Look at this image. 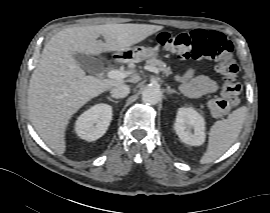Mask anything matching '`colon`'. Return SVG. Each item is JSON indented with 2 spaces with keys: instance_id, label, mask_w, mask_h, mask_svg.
<instances>
[{
  "instance_id": "1",
  "label": "colon",
  "mask_w": 270,
  "mask_h": 213,
  "mask_svg": "<svg viewBox=\"0 0 270 213\" xmlns=\"http://www.w3.org/2000/svg\"><path fill=\"white\" fill-rule=\"evenodd\" d=\"M157 44L181 59H213L216 69L223 75L222 94L210 102L214 116H222L238 103L241 85L235 81L238 67L233 55V46L223 34L210 30H195L170 34L162 32Z\"/></svg>"
}]
</instances>
